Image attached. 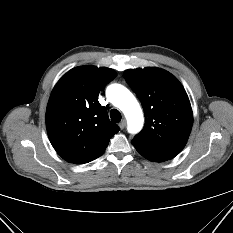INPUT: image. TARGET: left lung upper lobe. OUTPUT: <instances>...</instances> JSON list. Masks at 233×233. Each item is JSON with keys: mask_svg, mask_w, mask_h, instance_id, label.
<instances>
[{"mask_svg": "<svg viewBox=\"0 0 233 233\" xmlns=\"http://www.w3.org/2000/svg\"><path fill=\"white\" fill-rule=\"evenodd\" d=\"M138 95L145 114V126L132 143L142 146L182 150L190 135L193 114L181 83L160 68H137L124 72Z\"/></svg>", "mask_w": 233, "mask_h": 233, "instance_id": "5c2ea615", "label": "left lung upper lobe"}]
</instances>
